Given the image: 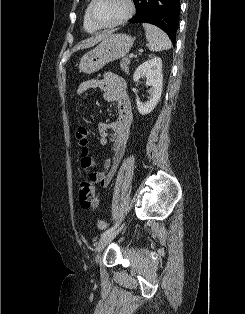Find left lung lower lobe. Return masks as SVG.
<instances>
[{
    "label": "left lung lower lobe",
    "mask_w": 245,
    "mask_h": 314,
    "mask_svg": "<svg viewBox=\"0 0 245 314\" xmlns=\"http://www.w3.org/2000/svg\"><path fill=\"white\" fill-rule=\"evenodd\" d=\"M132 23H150L163 29L175 44L179 26V0H140Z\"/></svg>",
    "instance_id": "left-lung-lower-lobe-1"
}]
</instances>
